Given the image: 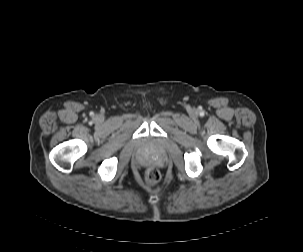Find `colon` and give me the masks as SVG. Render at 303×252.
<instances>
[{"instance_id":"obj_1","label":"colon","mask_w":303,"mask_h":252,"mask_svg":"<svg viewBox=\"0 0 303 252\" xmlns=\"http://www.w3.org/2000/svg\"><path fill=\"white\" fill-rule=\"evenodd\" d=\"M146 182L150 185L156 184L160 179V172L157 168H149L145 174Z\"/></svg>"}]
</instances>
